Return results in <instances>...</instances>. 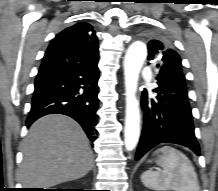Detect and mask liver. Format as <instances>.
I'll return each mask as SVG.
<instances>
[{
  "mask_svg": "<svg viewBox=\"0 0 218 191\" xmlns=\"http://www.w3.org/2000/svg\"><path fill=\"white\" fill-rule=\"evenodd\" d=\"M21 182L47 188L85 176L93 153L81 126L63 115H47L32 124L23 142Z\"/></svg>",
  "mask_w": 218,
  "mask_h": 191,
  "instance_id": "1",
  "label": "liver"
}]
</instances>
